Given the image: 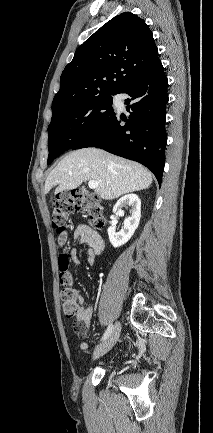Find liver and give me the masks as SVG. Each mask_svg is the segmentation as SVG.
I'll return each mask as SVG.
<instances>
[{"label": "liver", "instance_id": "obj_1", "mask_svg": "<svg viewBox=\"0 0 213 433\" xmlns=\"http://www.w3.org/2000/svg\"><path fill=\"white\" fill-rule=\"evenodd\" d=\"M85 181L99 183L95 192L105 200L143 190L152 183V174L141 164L97 148H83L69 153L51 171L45 193L57 186L55 194L73 190Z\"/></svg>", "mask_w": 213, "mask_h": 433}]
</instances>
